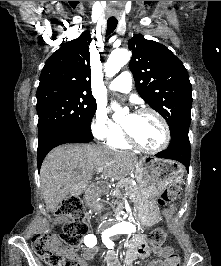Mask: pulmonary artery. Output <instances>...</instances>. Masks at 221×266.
<instances>
[{
  "mask_svg": "<svg viewBox=\"0 0 221 266\" xmlns=\"http://www.w3.org/2000/svg\"><path fill=\"white\" fill-rule=\"evenodd\" d=\"M110 90L121 93H129L132 89V76L124 71L119 74L109 85Z\"/></svg>",
  "mask_w": 221,
  "mask_h": 266,
  "instance_id": "1",
  "label": "pulmonary artery"
}]
</instances>
